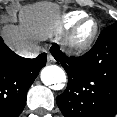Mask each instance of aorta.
<instances>
[{"instance_id":"aorta-1","label":"aorta","mask_w":117,"mask_h":117,"mask_svg":"<svg viewBox=\"0 0 117 117\" xmlns=\"http://www.w3.org/2000/svg\"><path fill=\"white\" fill-rule=\"evenodd\" d=\"M40 77L41 81L46 86L50 85L60 86L63 82L66 81V74L64 70L57 65H50L44 67L41 71Z\"/></svg>"}]
</instances>
